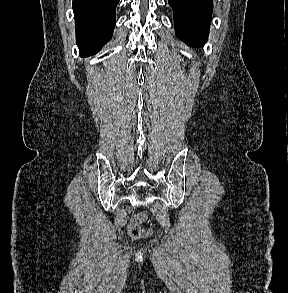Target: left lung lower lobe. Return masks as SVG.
I'll use <instances>...</instances> for the list:
<instances>
[{
    "label": "left lung lower lobe",
    "mask_w": 288,
    "mask_h": 293,
    "mask_svg": "<svg viewBox=\"0 0 288 293\" xmlns=\"http://www.w3.org/2000/svg\"><path fill=\"white\" fill-rule=\"evenodd\" d=\"M175 34L190 47L203 46L209 35L213 0H168Z\"/></svg>",
    "instance_id": "1"
}]
</instances>
